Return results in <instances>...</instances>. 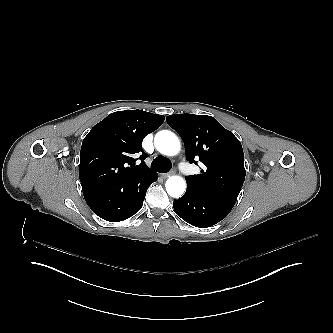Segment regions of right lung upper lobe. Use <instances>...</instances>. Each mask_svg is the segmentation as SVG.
I'll return each instance as SVG.
<instances>
[{
    "label": "right lung upper lobe",
    "mask_w": 333,
    "mask_h": 333,
    "mask_svg": "<svg viewBox=\"0 0 333 333\" xmlns=\"http://www.w3.org/2000/svg\"><path fill=\"white\" fill-rule=\"evenodd\" d=\"M164 122L163 115L142 110L117 111L96 124L82 142L79 178L83 193L90 182H122L150 169L141 144ZM142 153L141 164L132 155Z\"/></svg>",
    "instance_id": "obj_1"
}]
</instances>
